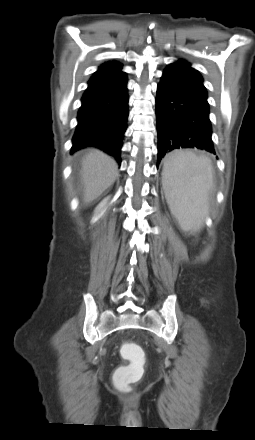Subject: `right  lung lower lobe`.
<instances>
[{"label":"right lung lower lobe","instance_id":"1","mask_svg":"<svg viewBox=\"0 0 255 440\" xmlns=\"http://www.w3.org/2000/svg\"><path fill=\"white\" fill-rule=\"evenodd\" d=\"M128 100L127 76L122 66L91 78L81 98L71 153L93 146L113 156L120 165Z\"/></svg>","mask_w":255,"mask_h":440}]
</instances>
